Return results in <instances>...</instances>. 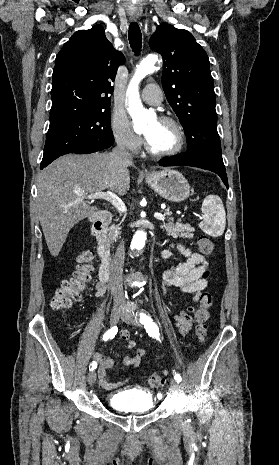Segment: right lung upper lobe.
Segmentation results:
<instances>
[{
  "label": "right lung upper lobe",
  "instance_id": "right-lung-upper-lobe-1",
  "mask_svg": "<svg viewBox=\"0 0 279 465\" xmlns=\"http://www.w3.org/2000/svg\"><path fill=\"white\" fill-rule=\"evenodd\" d=\"M124 61L102 26L75 32L56 57L50 124L109 107L112 82Z\"/></svg>",
  "mask_w": 279,
  "mask_h": 465
}]
</instances>
